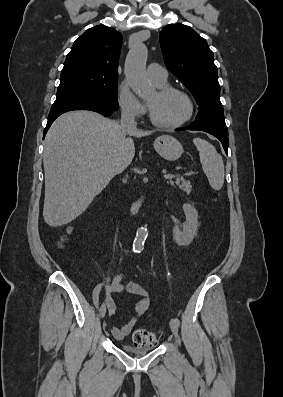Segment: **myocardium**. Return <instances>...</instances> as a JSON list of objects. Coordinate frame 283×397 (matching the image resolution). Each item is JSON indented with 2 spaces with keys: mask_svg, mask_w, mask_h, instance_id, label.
Masks as SVG:
<instances>
[{
  "mask_svg": "<svg viewBox=\"0 0 283 397\" xmlns=\"http://www.w3.org/2000/svg\"><path fill=\"white\" fill-rule=\"evenodd\" d=\"M156 92L159 97H164V96H166L170 93H174V92L183 95L189 104V112H188L187 116L185 118L181 119L180 121L173 122V123H164V122L159 121L156 118V116L153 112L152 106L149 103H147L149 118H150L151 123L154 126L159 127V128H164V129H174V128H178V127L184 125L193 117L194 112H195V105H194L193 99L191 98L189 93L186 92L184 89L175 87V86L166 85V86L158 88Z\"/></svg>",
  "mask_w": 283,
  "mask_h": 397,
  "instance_id": "f54148a6",
  "label": "myocardium"
}]
</instances>
